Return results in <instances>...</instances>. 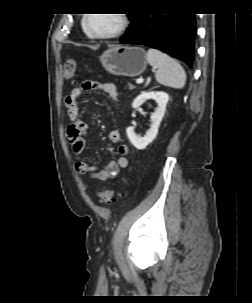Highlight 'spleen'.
Returning <instances> with one entry per match:
<instances>
[{
	"label": "spleen",
	"mask_w": 252,
	"mask_h": 303,
	"mask_svg": "<svg viewBox=\"0 0 252 303\" xmlns=\"http://www.w3.org/2000/svg\"><path fill=\"white\" fill-rule=\"evenodd\" d=\"M146 58L151 66L157 68L155 78L159 84L175 89L184 87L186 74L175 59L152 48L147 51Z\"/></svg>",
	"instance_id": "obj_1"
}]
</instances>
